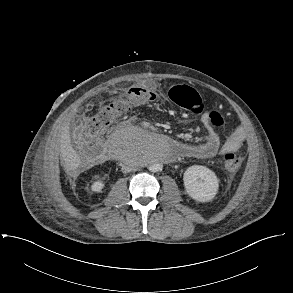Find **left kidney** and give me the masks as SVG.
<instances>
[{
    "label": "left kidney",
    "mask_w": 293,
    "mask_h": 293,
    "mask_svg": "<svg viewBox=\"0 0 293 293\" xmlns=\"http://www.w3.org/2000/svg\"><path fill=\"white\" fill-rule=\"evenodd\" d=\"M183 181L187 194L199 202L211 201L219 188V180L215 173L200 165L187 168Z\"/></svg>",
    "instance_id": "left-kidney-1"
}]
</instances>
